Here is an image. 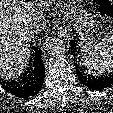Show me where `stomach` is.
<instances>
[{
	"label": "stomach",
	"instance_id": "stomach-1",
	"mask_svg": "<svg viewBox=\"0 0 113 113\" xmlns=\"http://www.w3.org/2000/svg\"><path fill=\"white\" fill-rule=\"evenodd\" d=\"M73 21L79 35V44L83 47L96 42L98 21L84 7L79 6L73 14Z\"/></svg>",
	"mask_w": 113,
	"mask_h": 113
}]
</instances>
